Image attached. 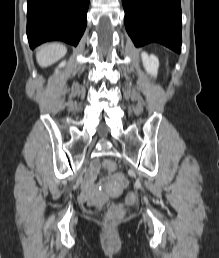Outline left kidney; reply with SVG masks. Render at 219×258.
Here are the masks:
<instances>
[{
    "label": "left kidney",
    "mask_w": 219,
    "mask_h": 258,
    "mask_svg": "<svg viewBox=\"0 0 219 258\" xmlns=\"http://www.w3.org/2000/svg\"><path fill=\"white\" fill-rule=\"evenodd\" d=\"M141 57L147 73L151 74L152 76H157L159 67L158 58L154 55H148L145 52H142Z\"/></svg>",
    "instance_id": "1"
}]
</instances>
